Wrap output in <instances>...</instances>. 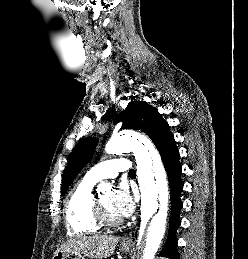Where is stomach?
Wrapping results in <instances>:
<instances>
[{"label":"stomach","mask_w":248,"mask_h":259,"mask_svg":"<svg viewBox=\"0 0 248 259\" xmlns=\"http://www.w3.org/2000/svg\"><path fill=\"white\" fill-rule=\"evenodd\" d=\"M121 249L124 252H127L131 249V247L122 245ZM52 259H85V258H84V256L78 255L74 252L67 251V252H58V253L54 254Z\"/></svg>","instance_id":"obj_1"}]
</instances>
